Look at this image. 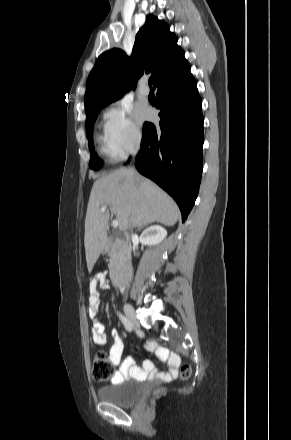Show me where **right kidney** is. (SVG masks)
<instances>
[{
  "instance_id": "obj_1",
  "label": "right kidney",
  "mask_w": 291,
  "mask_h": 440,
  "mask_svg": "<svg viewBox=\"0 0 291 440\" xmlns=\"http://www.w3.org/2000/svg\"><path fill=\"white\" fill-rule=\"evenodd\" d=\"M166 236L167 231L163 227L154 225L146 228L142 232L140 242L144 245H157L162 242Z\"/></svg>"
}]
</instances>
